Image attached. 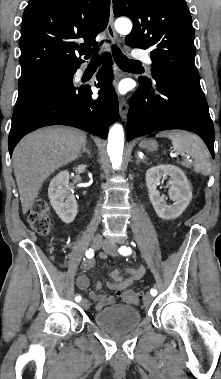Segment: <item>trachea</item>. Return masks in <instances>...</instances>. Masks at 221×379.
I'll return each instance as SVG.
<instances>
[{
    "label": "trachea",
    "instance_id": "3493384b",
    "mask_svg": "<svg viewBox=\"0 0 221 379\" xmlns=\"http://www.w3.org/2000/svg\"><path fill=\"white\" fill-rule=\"evenodd\" d=\"M112 49L114 60L121 69H127L134 65L141 64L139 61L129 59L127 56H125L116 45H114ZM90 65H99L98 59L93 58L90 62Z\"/></svg>",
    "mask_w": 221,
    "mask_h": 379
}]
</instances>
